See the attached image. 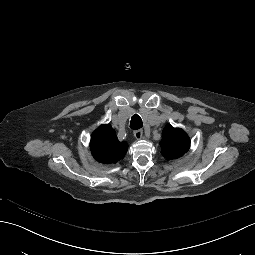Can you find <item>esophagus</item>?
Returning <instances> with one entry per match:
<instances>
[{
	"label": "esophagus",
	"instance_id": "esophagus-1",
	"mask_svg": "<svg viewBox=\"0 0 255 255\" xmlns=\"http://www.w3.org/2000/svg\"><path fill=\"white\" fill-rule=\"evenodd\" d=\"M142 133H143V132H142L141 129L135 130V131H134V136H135V138L138 139V140L141 139V138H142Z\"/></svg>",
	"mask_w": 255,
	"mask_h": 255
}]
</instances>
